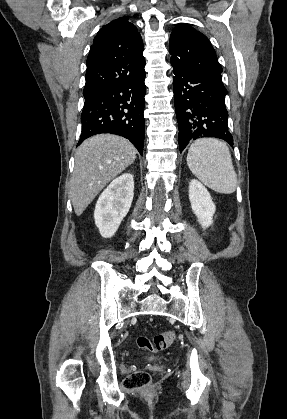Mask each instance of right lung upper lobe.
Segmentation results:
<instances>
[{"label":"right lung upper lobe","instance_id":"obj_1","mask_svg":"<svg viewBox=\"0 0 287 419\" xmlns=\"http://www.w3.org/2000/svg\"><path fill=\"white\" fill-rule=\"evenodd\" d=\"M143 42L128 17L103 26L87 58L85 100L144 72Z\"/></svg>","mask_w":287,"mask_h":419}]
</instances>
